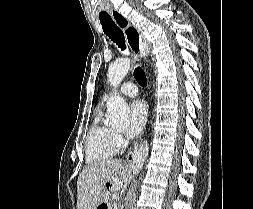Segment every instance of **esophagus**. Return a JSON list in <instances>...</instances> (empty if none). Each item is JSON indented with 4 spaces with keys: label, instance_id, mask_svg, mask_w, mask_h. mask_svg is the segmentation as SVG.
I'll use <instances>...</instances> for the list:
<instances>
[{
    "label": "esophagus",
    "instance_id": "obj_1",
    "mask_svg": "<svg viewBox=\"0 0 253 209\" xmlns=\"http://www.w3.org/2000/svg\"><path fill=\"white\" fill-rule=\"evenodd\" d=\"M111 16L115 23L123 28L127 38L128 45L132 50L136 60H142L145 56L146 43L144 42L139 30L133 26L130 21L124 17L119 11H112ZM123 26V27H121ZM149 78V77H148ZM139 143H135L134 148L129 151L127 159L130 163H134L133 155L137 150Z\"/></svg>",
    "mask_w": 253,
    "mask_h": 209
}]
</instances>
